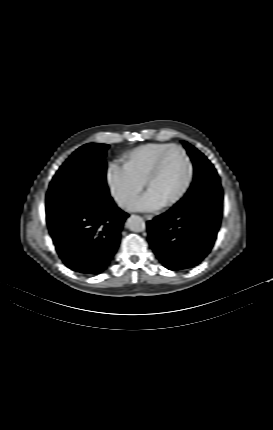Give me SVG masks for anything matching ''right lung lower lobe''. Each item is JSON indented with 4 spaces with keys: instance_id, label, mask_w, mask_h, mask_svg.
<instances>
[{
    "instance_id": "right-lung-lower-lobe-1",
    "label": "right lung lower lobe",
    "mask_w": 273,
    "mask_h": 430,
    "mask_svg": "<svg viewBox=\"0 0 273 430\" xmlns=\"http://www.w3.org/2000/svg\"><path fill=\"white\" fill-rule=\"evenodd\" d=\"M129 215L110 199L91 200L47 215V225L63 263L84 275L103 272L117 251Z\"/></svg>"
}]
</instances>
